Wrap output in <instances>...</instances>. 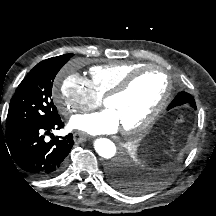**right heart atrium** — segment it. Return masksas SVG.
<instances>
[{
    "label": "right heart atrium",
    "mask_w": 216,
    "mask_h": 216,
    "mask_svg": "<svg viewBox=\"0 0 216 216\" xmlns=\"http://www.w3.org/2000/svg\"><path fill=\"white\" fill-rule=\"evenodd\" d=\"M58 111L67 116L77 111H86L96 106L101 98L92 89L89 81L76 73L65 76L53 92Z\"/></svg>",
    "instance_id": "obj_1"
}]
</instances>
